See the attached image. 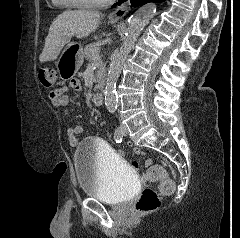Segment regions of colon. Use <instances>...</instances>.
I'll list each match as a JSON object with an SVG mask.
<instances>
[{"label":"colon","instance_id":"1","mask_svg":"<svg viewBox=\"0 0 240 238\" xmlns=\"http://www.w3.org/2000/svg\"><path fill=\"white\" fill-rule=\"evenodd\" d=\"M38 79L42 86L50 88L55 84L56 72L50 67H40ZM147 175L150 181H158L159 185L157 190L145 188L141 192L135 204V210L140 214H146L158 209L161 204V196L171 195L175 187L174 181L162 166H151Z\"/></svg>","mask_w":240,"mask_h":238}]
</instances>
